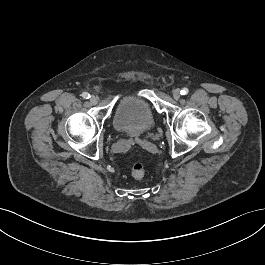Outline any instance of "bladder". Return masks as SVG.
<instances>
[{"label": "bladder", "instance_id": "obj_1", "mask_svg": "<svg viewBox=\"0 0 265 265\" xmlns=\"http://www.w3.org/2000/svg\"><path fill=\"white\" fill-rule=\"evenodd\" d=\"M154 119L150 105L143 99L129 94L120 98L113 123L118 132L138 136L153 128Z\"/></svg>", "mask_w": 265, "mask_h": 265}]
</instances>
